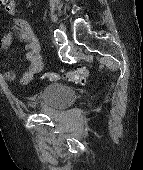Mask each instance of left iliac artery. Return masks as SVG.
<instances>
[{
  "instance_id": "left-iliac-artery-1",
  "label": "left iliac artery",
  "mask_w": 143,
  "mask_h": 170,
  "mask_svg": "<svg viewBox=\"0 0 143 170\" xmlns=\"http://www.w3.org/2000/svg\"><path fill=\"white\" fill-rule=\"evenodd\" d=\"M54 37H55V40H56L57 44H59V45H62V44L66 45V44H68L67 36L61 30L55 29L54 30Z\"/></svg>"
}]
</instances>
